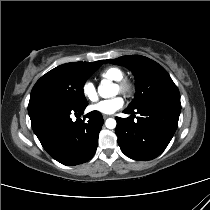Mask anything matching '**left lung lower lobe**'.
Listing matches in <instances>:
<instances>
[{"instance_id": "1", "label": "left lung lower lobe", "mask_w": 210, "mask_h": 210, "mask_svg": "<svg viewBox=\"0 0 210 210\" xmlns=\"http://www.w3.org/2000/svg\"><path fill=\"white\" fill-rule=\"evenodd\" d=\"M181 111L180 100L159 99L127 108L128 118L116 117V135L122 152L131 159L146 161L159 156L172 139ZM140 114L134 122V114Z\"/></svg>"}]
</instances>
